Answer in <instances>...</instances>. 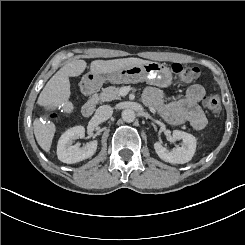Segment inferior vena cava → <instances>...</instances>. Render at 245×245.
Here are the masks:
<instances>
[{
  "label": "inferior vena cava",
  "instance_id": "602c4592",
  "mask_svg": "<svg viewBox=\"0 0 245 245\" xmlns=\"http://www.w3.org/2000/svg\"><path fill=\"white\" fill-rule=\"evenodd\" d=\"M113 114V109L109 105L100 106L96 112L95 117L100 121H105L109 119Z\"/></svg>",
  "mask_w": 245,
  "mask_h": 245
}]
</instances>
